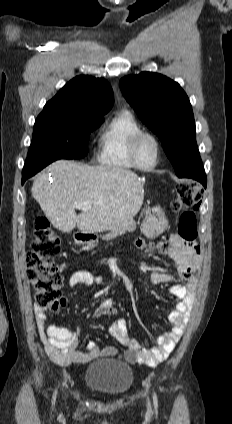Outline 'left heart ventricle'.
<instances>
[{
  "label": "left heart ventricle",
  "mask_w": 232,
  "mask_h": 424,
  "mask_svg": "<svg viewBox=\"0 0 232 424\" xmlns=\"http://www.w3.org/2000/svg\"><path fill=\"white\" fill-rule=\"evenodd\" d=\"M136 156L141 165H151L156 156V146L154 141L149 137L142 138L136 147Z\"/></svg>",
  "instance_id": "b2bd125f"
}]
</instances>
